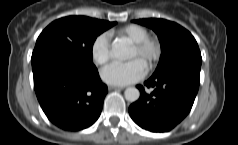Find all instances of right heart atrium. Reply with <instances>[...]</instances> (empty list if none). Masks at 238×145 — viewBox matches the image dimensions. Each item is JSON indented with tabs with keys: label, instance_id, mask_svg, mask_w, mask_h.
Wrapping results in <instances>:
<instances>
[{
	"label": "right heart atrium",
	"instance_id": "obj_1",
	"mask_svg": "<svg viewBox=\"0 0 238 145\" xmlns=\"http://www.w3.org/2000/svg\"><path fill=\"white\" fill-rule=\"evenodd\" d=\"M90 53L94 63L99 66H104L111 60L112 51L106 34H101L93 40Z\"/></svg>",
	"mask_w": 238,
	"mask_h": 145
}]
</instances>
